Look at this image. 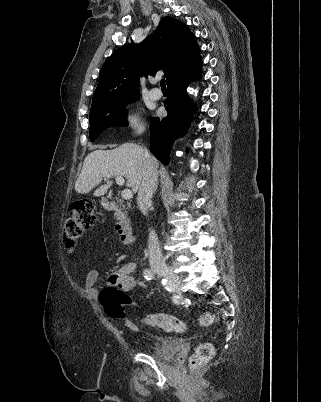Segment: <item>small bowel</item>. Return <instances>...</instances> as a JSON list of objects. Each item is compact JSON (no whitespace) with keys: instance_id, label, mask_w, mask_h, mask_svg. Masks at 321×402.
Segmentation results:
<instances>
[{"instance_id":"small-bowel-1","label":"small bowel","mask_w":321,"mask_h":402,"mask_svg":"<svg viewBox=\"0 0 321 402\" xmlns=\"http://www.w3.org/2000/svg\"><path fill=\"white\" fill-rule=\"evenodd\" d=\"M137 269L135 263H127L116 269L110 276L109 281L111 283H118L122 289L130 291L136 287H143L144 283L137 280L134 273ZM97 272L91 271L86 276V286H93L97 281ZM125 325L128 329L134 332L139 331V326L132 320L127 319Z\"/></svg>"}]
</instances>
